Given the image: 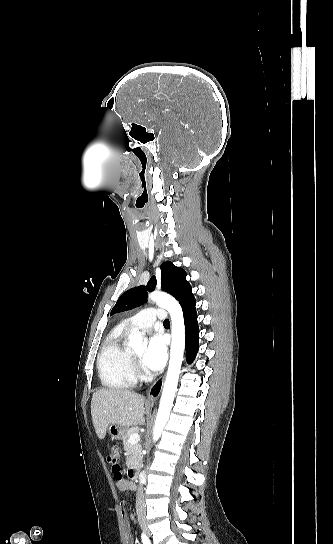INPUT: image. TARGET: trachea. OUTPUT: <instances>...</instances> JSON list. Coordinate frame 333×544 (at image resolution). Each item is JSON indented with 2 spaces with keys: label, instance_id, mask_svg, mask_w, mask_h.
<instances>
[{
  "label": "trachea",
  "instance_id": "3493384b",
  "mask_svg": "<svg viewBox=\"0 0 333 544\" xmlns=\"http://www.w3.org/2000/svg\"><path fill=\"white\" fill-rule=\"evenodd\" d=\"M164 325H170V321L168 319H165L163 322Z\"/></svg>",
  "mask_w": 333,
  "mask_h": 544
}]
</instances>
